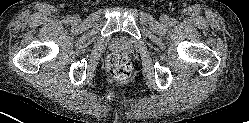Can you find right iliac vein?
Masks as SVG:
<instances>
[{
    "label": "right iliac vein",
    "instance_id": "obj_1",
    "mask_svg": "<svg viewBox=\"0 0 249 123\" xmlns=\"http://www.w3.org/2000/svg\"><path fill=\"white\" fill-rule=\"evenodd\" d=\"M73 21H74V22H78V21H79V17L75 16V17L73 18Z\"/></svg>",
    "mask_w": 249,
    "mask_h": 123
}]
</instances>
